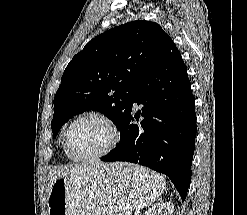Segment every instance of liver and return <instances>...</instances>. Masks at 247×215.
<instances>
[{"label":"liver","instance_id":"liver-1","mask_svg":"<svg viewBox=\"0 0 247 215\" xmlns=\"http://www.w3.org/2000/svg\"><path fill=\"white\" fill-rule=\"evenodd\" d=\"M105 166L106 164L101 162H90V163H83L81 165H71V166L56 168L49 173L48 191L50 192L53 183L58 178L65 177L71 181H74L77 179L84 178L92 171L98 170Z\"/></svg>","mask_w":247,"mask_h":215}]
</instances>
